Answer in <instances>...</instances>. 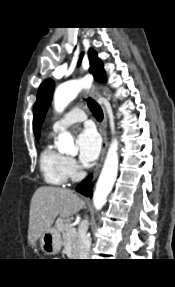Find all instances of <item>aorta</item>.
<instances>
[{
  "mask_svg": "<svg viewBox=\"0 0 175 287\" xmlns=\"http://www.w3.org/2000/svg\"><path fill=\"white\" fill-rule=\"evenodd\" d=\"M84 86L85 85L81 80H73L60 85L54 94L55 110L62 112L66 106L76 98ZM56 146L61 153L72 154L77 152L72 135L66 131L58 135ZM117 150L118 142L115 139L108 149L93 195V204L96 210H100L104 206L106 198L116 181L119 163Z\"/></svg>",
  "mask_w": 175,
  "mask_h": 287,
  "instance_id": "aorta-1",
  "label": "aorta"
}]
</instances>
